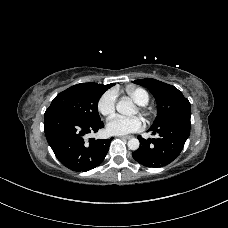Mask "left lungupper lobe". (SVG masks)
<instances>
[{"instance_id":"obj_1","label":"left lung upper lobe","mask_w":228,"mask_h":228,"mask_svg":"<svg viewBox=\"0 0 228 228\" xmlns=\"http://www.w3.org/2000/svg\"><path fill=\"white\" fill-rule=\"evenodd\" d=\"M133 83L146 87L156 99L157 118L151 128L181 114L190 113V102L176 87L151 78L135 80ZM175 120L177 129L181 128L179 118Z\"/></svg>"}]
</instances>
